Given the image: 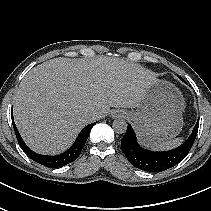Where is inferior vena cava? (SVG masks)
<instances>
[{
    "instance_id": "602c4592",
    "label": "inferior vena cava",
    "mask_w": 211,
    "mask_h": 211,
    "mask_svg": "<svg viewBox=\"0 0 211 211\" xmlns=\"http://www.w3.org/2000/svg\"><path fill=\"white\" fill-rule=\"evenodd\" d=\"M91 117H92L94 120H96V119L98 118V115H97V113H92V114H91Z\"/></svg>"
}]
</instances>
